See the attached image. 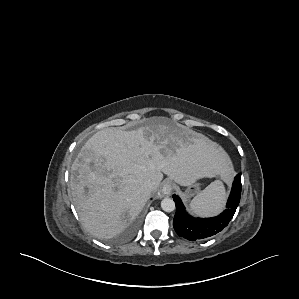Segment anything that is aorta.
<instances>
[{"label": "aorta", "instance_id": "762f6f07", "mask_svg": "<svg viewBox=\"0 0 299 299\" xmlns=\"http://www.w3.org/2000/svg\"><path fill=\"white\" fill-rule=\"evenodd\" d=\"M161 208L165 211V212H172L175 210V202L173 199L171 198H164L161 201Z\"/></svg>", "mask_w": 299, "mask_h": 299}]
</instances>
